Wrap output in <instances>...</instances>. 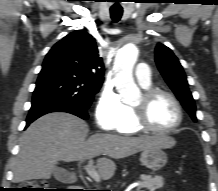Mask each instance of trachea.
Segmentation results:
<instances>
[{
  "instance_id": "3493384b",
  "label": "trachea",
  "mask_w": 218,
  "mask_h": 191,
  "mask_svg": "<svg viewBox=\"0 0 218 191\" xmlns=\"http://www.w3.org/2000/svg\"><path fill=\"white\" fill-rule=\"evenodd\" d=\"M122 14H123L122 9H117V8L110 9V15L114 22H118L121 19Z\"/></svg>"
}]
</instances>
